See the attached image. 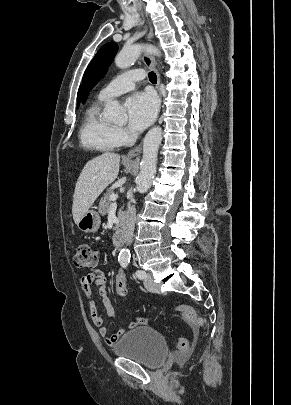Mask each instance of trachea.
Wrapping results in <instances>:
<instances>
[{"mask_svg": "<svg viewBox=\"0 0 291 405\" xmlns=\"http://www.w3.org/2000/svg\"><path fill=\"white\" fill-rule=\"evenodd\" d=\"M148 76L151 83L155 84L157 82V76L154 72H150Z\"/></svg>", "mask_w": 291, "mask_h": 405, "instance_id": "1", "label": "trachea"}]
</instances>
